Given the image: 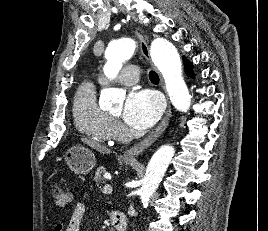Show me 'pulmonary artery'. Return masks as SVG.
<instances>
[{
  "label": "pulmonary artery",
  "instance_id": "e3ab8cb5",
  "mask_svg": "<svg viewBox=\"0 0 268 231\" xmlns=\"http://www.w3.org/2000/svg\"><path fill=\"white\" fill-rule=\"evenodd\" d=\"M139 66L135 63L128 65L121 76L119 81L126 85H133L137 82L139 77ZM99 81L101 84H106L108 79L104 76H100Z\"/></svg>",
  "mask_w": 268,
  "mask_h": 231
}]
</instances>
